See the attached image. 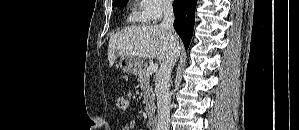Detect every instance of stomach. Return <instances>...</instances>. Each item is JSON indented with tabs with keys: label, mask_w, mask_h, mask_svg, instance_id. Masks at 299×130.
Returning a JSON list of instances; mask_svg holds the SVG:
<instances>
[{
	"label": "stomach",
	"mask_w": 299,
	"mask_h": 130,
	"mask_svg": "<svg viewBox=\"0 0 299 130\" xmlns=\"http://www.w3.org/2000/svg\"><path fill=\"white\" fill-rule=\"evenodd\" d=\"M142 60L140 58L129 56V55H121L118 61V66L120 69L129 74H136L142 67Z\"/></svg>",
	"instance_id": "obj_1"
}]
</instances>
